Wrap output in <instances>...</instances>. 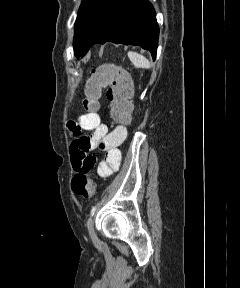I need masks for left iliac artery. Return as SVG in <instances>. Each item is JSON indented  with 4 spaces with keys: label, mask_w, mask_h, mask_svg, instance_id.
<instances>
[{
    "label": "left iliac artery",
    "mask_w": 240,
    "mask_h": 288,
    "mask_svg": "<svg viewBox=\"0 0 240 288\" xmlns=\"http://www.w3.org/2000/svg\"><path fill=\"white\" fill-rule=\"evenodd\" d=\"M96 211V206H93L90 212V215L92 216Z\"/></svg>",
    "instance_id": "obj_1"
}]
</instances>
